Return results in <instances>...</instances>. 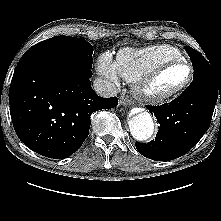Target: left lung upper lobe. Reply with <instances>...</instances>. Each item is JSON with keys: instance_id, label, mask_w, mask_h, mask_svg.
Wrapping results in <instances>:
<instances>
[{"instance_id": "1", "label": "left lung upper lobe", "mask_w": 221, "mask_h": 221, "mask_svg": "<svg viewBox=\"0 0 221 221\" xmlns=\"http://www.w3.org/2000/svg\"><path fill=\"white\" fill-rule=\"evenodd\" d=\"M185 49L189 54L193 64V78L215 72L214 68L211 67L212 65H210L211 63H209L198 51L192 49L189 46H186Z\"/></svg>"}]
</instances>
